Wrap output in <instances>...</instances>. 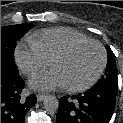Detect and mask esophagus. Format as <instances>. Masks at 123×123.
<instances>
[{"label": "esophagus", "instance_id": "obj_1", "mask_svg": "<svg viewBox=\"0 0 123 123\" xmlns=\"http://www.w3.org/2000/svg\"><path fill=\"white\" fill-rule=\"evenodd\" d=\"M46 95H43V94H37V101L38 102H41L45 99Z\"/></svg>", "mask_w": 123, "mask_h": 123}]
</instances>
